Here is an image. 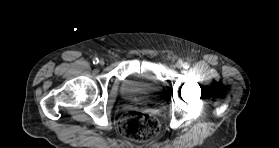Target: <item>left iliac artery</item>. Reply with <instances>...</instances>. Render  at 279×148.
<instances>
[{
	"label": "left iliac artery",
	"mask_w": 279,
	"mask_h": 148,
	"mask_svg": "<svg viewBox=\"0 0 279 148\" xmlns=\"http://www.w3.org/2000/svg\"><path fill=\"white\" fill-rule=\"evenodd\" d=\"M183 67H184L185 69H188V68L190 67V64H189L188 62H184V63H183Z\"/></svg>",
	"instance_id": "obj_1"
}]
</instances>
